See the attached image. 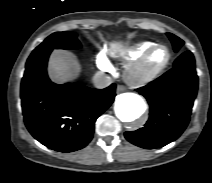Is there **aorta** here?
<instances>
[{
    "label": "aorta",
    "mask_w": 212,
    "mask_h": 183,
    "mask_svg": "<svg viewBox=\"0 0 212 183\" xmlns=\"http://www.w3.org/2000/svg\"><path fill=\"white\" fill-rule=\"evenodd\" d=\"M114 109L122 122H133L146 111V103L140 95L128 92L117 97Z\"/></svg>",
    "instance_id": "762f6f07"
}]
</instances>
